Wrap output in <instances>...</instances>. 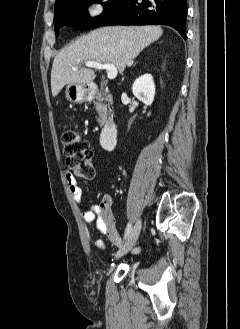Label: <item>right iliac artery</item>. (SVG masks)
<instances>
[{
    "mask_svg": "<svg viewBox=\"0 0 240 329\" xmlns=\"http://www.w3.org/2000/svg\"><path fill=\"white\" fill-rule=\"evenodd\" d=\"M131 230H132V225H131V223H128L126 230H125L124 239H126L129 236Z\"/></svg>",
    "mask_w": 240,
    "mask_h": 329,
    "instance_id": "obj_1",
    "label": "right iliac artery"
}]
</instances>
